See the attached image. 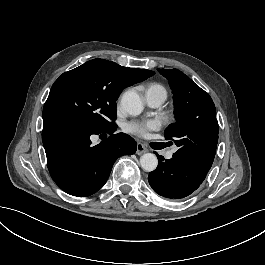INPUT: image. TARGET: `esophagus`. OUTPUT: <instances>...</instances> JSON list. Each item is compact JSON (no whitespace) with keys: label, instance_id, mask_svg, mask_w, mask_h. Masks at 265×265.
<instances>
[{"label":"esophagus","instance_id":"esophagus-1","mask_svg":"<svg viewBox=\"0 0 265 265\" xmlns=\"http://www.w3.org/2000/svg\"><path fill=\"white\" fill-rule=\"evenodd\" d=\"M147 151L148 149L144 146V144H142L141 142L137 143V150H136L137 155H142Z\"/></svg>","mask_w":265,"mask_h":265}]
</instances>
